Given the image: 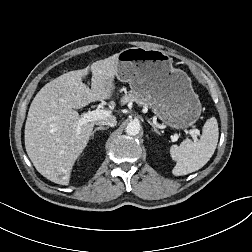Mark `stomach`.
<instances>
[{"instance_id": "stomach-1", "label": "stomach", "mask_w": 252, "mask_h": 252, "mask_svg": "<svg viewBox=\"0 0 252 252\" xmlns=\"http://www.w3.org/2000/svg\"><path fill=\"white\" fill-rule=\"evenodd\" d=\"M116 77L129 83L153 112L168 126L183 130L201 114V103L187 74L173 67L162 50L131 47L117 54Z\"/></svg>"}]
</instances>
